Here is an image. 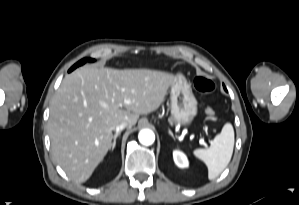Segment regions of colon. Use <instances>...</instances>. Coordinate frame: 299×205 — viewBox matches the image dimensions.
Masks as SVG:
<instances>
[{"mask_svg":"<svg viewBox=\"0 0 299 205\" xmlns=\"http://www.w3.org/2000/svg\"><path fill=\"white\" fill-rule=\"evenodd\" d=\"M194 86L199 92L204 94L211 93L215 87L213 81L210 78L203 75L197 76L194 79ZM205 112L210 117H213L215 115V111L211 106H206Z\"/></svg>","mask_w":299,"mask_h":205,"instance_id":"5ec220e1","label":"colon"}]
</instances>
